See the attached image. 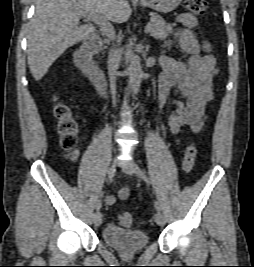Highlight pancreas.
I'll list each match as a JSON object with an SVG mask.
<instances>
[{"mask_svg":"<svg viewBox=\"0 0 254 267\" xmlns=\"http://www.w3.org/2000/svg\"><path fill=\"white\" fill-rule=\"evenodd\" d=\"M150 16V22L148 23L150 35L155 39H166L172 33V25L166 23L158 14L152 13Z\"/></svg>","mask_w":254,"mask_h":267,"instance_id":"1","label":"pancreas"}]
</instances>
